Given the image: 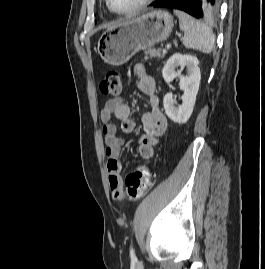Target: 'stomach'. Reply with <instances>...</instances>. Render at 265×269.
Segmentation results:
<instances>
[{"label": "stomach", "instance_id": "0dacf381", "mask_svg": "<svg viewBox=\"0 0 265 269\" xmlns=\"http://www.w3.org/2000/svg\"><path fill=\"white\" fill-rule=\"evenodd\" d=\"M173 26V17L165 10H154L127 19L101 35L97 45L98 53L106 63L123 65L138 51L166 40Z\"/></svg>", "mask_w": 265, "mask_h": 269}]
</instances>
